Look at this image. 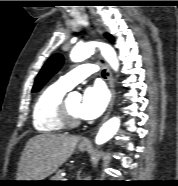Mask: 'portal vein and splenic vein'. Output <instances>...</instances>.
<instances>
[{
    "label": "portal vein and splenic vein",
    "mask_w": 178,
    "mask_h": 186,
    "mask_svg": "<svg viewBox=\"0 0 178 186\" xmlns=\"http://www.w3.org/2000/svg\"><path fill=\"white\" fill-rule=\"evenodd\" d=\"M64 181H67V179L65 178V179H63Z\"/></svg>",
    "instance_id": "portal-vein-and-splenic-vein-1"
}]
</instances>
